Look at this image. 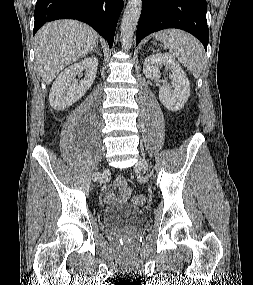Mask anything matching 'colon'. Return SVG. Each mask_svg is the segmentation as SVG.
Segmentation results:
<instances>
[{"mask_svg": "<svg viewBox=\"0 0 253 285\" xmlns=\"http://www.w3.org/2000/svg\"><path fill=\"white\" fill-rule=\"evenodd\" d=\"M132 201L134 205L142 206L146 203V198L143 195H136Z\"/></svg>", "mask_w": 253, "mask_h": 285, "instance_id": "5ec220e1", "label": "colon"}]
</instances>
